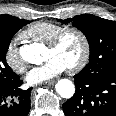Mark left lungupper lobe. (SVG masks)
<instances>
[{
  "instance_id": "obj_1",
  "label": "left lung upper lobe",
  "mask_w": 116,
  "mask_h": 116,
  "mask_svg": "<svg viewBox=\"0 0 116 116\" xmlns=\"http://www.w3.org/2000/svg\"><path fill=\"white\" fill-rule=\"evenodd\" d=\"M72 22L81 30L90 46L89 63L79 72L86 77L116 73V22L91 14L59 20Z\"/></svg>"
}]
</instances>
